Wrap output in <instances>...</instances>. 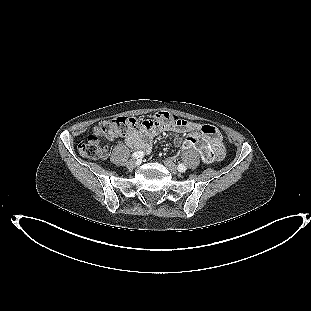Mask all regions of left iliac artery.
<instances>
[{"label":"left iliac artery","mask_w":311,"mask_h":311,"mask_svg":"<svg viewBox=\"0 0 311 311\" xmlns=\"http://www.w3.org/2000/svg\"><path fill=\"white\" fill-rule=\"evenodd\" d=\"M178 171L179 172H185L186 171V166L183 164H179L178 165Z\"/></svg>","instance_id":"obj_1"}]
</instances>
